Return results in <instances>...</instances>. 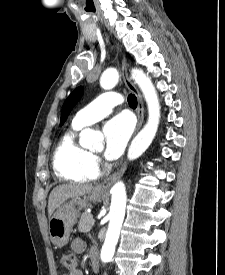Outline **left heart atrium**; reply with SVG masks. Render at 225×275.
<instances>
[{
    "mask_svg": "<svg viewBox=\"0 0 225 275\" xmlns=\"http://www.w3.org/2000/svg\"><path fill=\"white\" fill-rule=\"evenodd\" d=\"M133 131V123L126 115H118L107 121L103 127L105 136V157L117 159L124 151Z\"/></svg>",
    "mask_w": 225,
    "mask_h": 275,
    "instance_id": "left-heart-atrium-1",
    "label": "left heart atrium"
}]
</instances>
